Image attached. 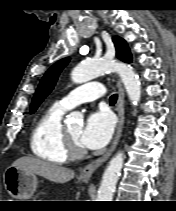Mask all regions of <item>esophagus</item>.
I'll return each instance as SVG.
<instances>
[{
    "mask_svg": "<svg viewBox=\"0 0 176 211\" xmlns=\"http://www.w3.org/2000/svg\"><path fill=\"white\" fill-rule=\"evenodd\" d=\"M117 85H118V93H119L118 101H117V111H118L119 122H118V127L116 130L114 140L109 150L104 155L92 161L91 163H89L88 165H86L80 170V178L82 180H90L94 171L112 155L113 151L117 147L118 142L121 138L124 123H125V108H124L125 92L120 80H118Z\"/></svg>",
    "mask_w": 176,
    "mask_h": 211,
    "instance_id": "esophagus-1",
    "label": "esophagus"
}]
</instances>
